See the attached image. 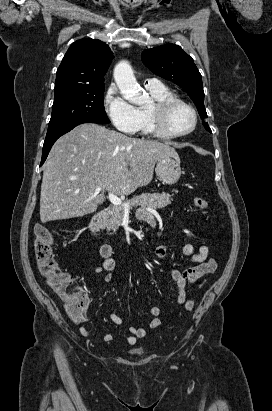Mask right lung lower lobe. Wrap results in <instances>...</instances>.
Here are the masks:
<instances>
[{
  "label": "right lung lower lobe",
  "mask_w": 272,
  "mask_h": 411,
  "mask_svg": "<svg viewBox=\"0 0 272 411\" xmlns=\"http://www.w3.org/2000/svg\"><path fill=\"white\" fill-rule=\"evenodd\" d=\"M87 122H89V121L78 122V123L72 124V125L64 128V129H63L62 131H60V132H57V133L52 134V135H46V139H45V141H44L43 150H42V160H41L40 166L44 163V161L46 160V158H47V156H48V153H49L52 145L54 144V142H55L60 136H62L63 134L69 132V131L72 130L75 126H77V125H79V124H82V123H87ZM91 123H93V122H91Z\"/></svg>",
  "instance_id": "1"
}]
</instances>
